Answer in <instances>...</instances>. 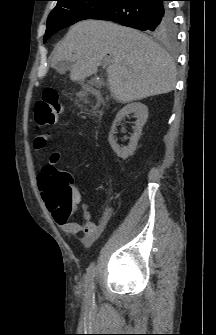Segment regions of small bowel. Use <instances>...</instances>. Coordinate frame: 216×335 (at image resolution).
<instances>
[{
  "instance_id": "obj_1",
  "label": "small bowel",
  "mask_w": 216,
  "mask_h": 335,
  "mask_svg": "<svg viewBox=\"0 0 216 335\" xmlns=\"http://www.w3.org/2000/svg\"><path fill=\"white\" fill-rule=\"evenodd\" d=\"M47 142L48 138L46 136H37L33 143L34 149L36 151L42 150L47 145ZM59 159V153H53L50 155L47 164L42 168L38 175V188L59 228L72 235H78L81 233L82 244L89 247L100 235L106 225L107 219L105 216H102L97 222H94L91 218L87 205L82 201L81 193L76 188H70L74 199L73 206H79L81 208L83 224L72 222L68 218L69 215L65 216V209L55 201L49 188V185L57 172L56 165Z\"/></svg>"
}]
</instances>
